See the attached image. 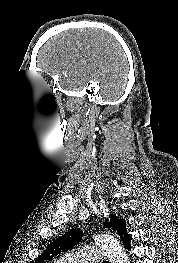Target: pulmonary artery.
Masks as SVG:
<instances>
[{"label":"pulmonary artery","mask_w":178,"mask_h":263,"mask_svg":"<svg viewBox=\"0 0 178 263\" xmlns=\"http://www.w3.org/2000/svg\"><path fill=\"white\" fill-rule=\"evenodd\" d=\"M103 253L97 247H86L75 254H66L58 259L59 263H97Z\"/></svg>","instance_id":"e3ab8cb5"}]
</instances>
